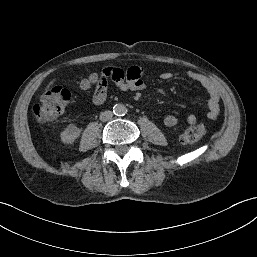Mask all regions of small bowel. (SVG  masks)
I'll return each mask as SVG.
<instances>
[{"instance_id": "obj_1", "label": "small bowel", "mask_w": 257, "mask_h": 257, "mask_svg": "<svg viewBox=\"0 0 257 257\" xmlns=\"http://www.w3.org/2000/svg\"><path fill=\"white\" fill-rule=\"evenodd\" d=\"M102 77L111 79L121 91L143 90L146 84L143 80V69L139 66H131L124 70L118 67L104 68L100 74ZM174 77H183L197 83L207 96L208 112L207 117L216 120L220 114V96L214 84L204 75L191 70L179 72L164 71L161 73L163 80H170ZM86 94L92 96V103L96 106L102 105L107 97V85L103 88L96 87L94 90L85 89ZM161 95H166L165 89H159ZM187 122L191 125L197 122L195 114H189ZM178 123L176 116L168 114L163 118V124L167 127H174Z\"/></svg>"}]
</instances>
